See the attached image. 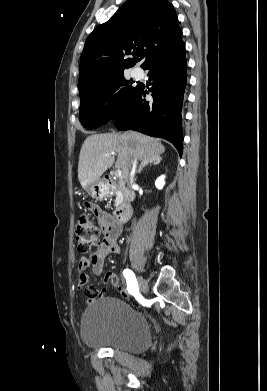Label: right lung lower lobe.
I'll return each instance as SVG.
<instances>
[{
  "mask_svg": "<svg viewBox=\"0 0 267 391\" xmlns=\"http://www.w3.org/2000/svg\"><path fill=\"white\" fill-rule=\"evenodd\" d=\"M144 69L149 70L152 88L140 84L133 98L114 117L120 130H136L170 141L182 154L181 111L187 82L185 44L158 56ZM152 92L153 100L146 101Z\"/></svg>",
  "mask_w": 267,
  "mask_h": 391,
  "instance_id": "1",
  "label": "right lung lower lobe"
}]
</instances>
